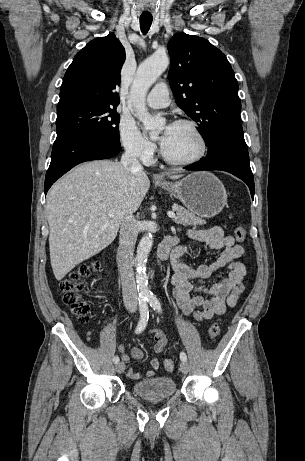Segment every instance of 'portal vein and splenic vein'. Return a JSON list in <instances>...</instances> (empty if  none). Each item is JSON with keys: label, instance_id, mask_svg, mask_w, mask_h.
Instances as JSON below:
<instances>
[{"label": "portal vein and splenic vein", "instance_id": "portal-vein-and-splenic-vein-1", "mask_svg": "<svg viewBox=\"0 0 305 461\" xmlns=\"http://www.w3.org/2000/svg\"><path fill=\"white\" fill-rule=\"evenodd\" d=\"M167 215H168V217H170V218H175V217H176L175 213L172 212V211H168V212H167ZM109 216H110V217H113L112 214H110Z\"/></svg>", "mask_w": 305, "mask_h": 461}]
</instances>
